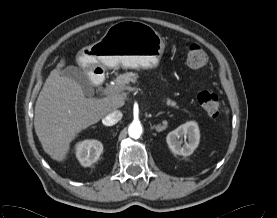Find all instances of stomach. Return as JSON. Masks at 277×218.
<instances>
[{"label": "stomach", "instance_id": "stomach-1", "mask_svg": "<svg viewBox=\"0 0 277 218\" xmlns=\"http://www.w3.org/2000/svg\"><path fill=\"white\" fill-rule=\"evenodd\" d=\"M164 49L165 43L153 27L123 20L111 25L99 41L82 48L76 61L87 69H151L158 66Z\"/></svg>", "mask_w": 277, "mask_h": 218}]
</instances>
